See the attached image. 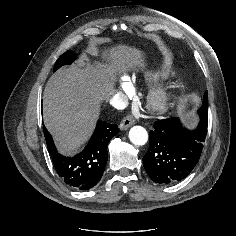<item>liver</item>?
I'll list each match as a JSON object with an SVG mask.
<instances>
[{"mask_svg":"<svg viewBox=\"0 0 236 236\" xmlns=\"http://www.w3.org/2000/svg\"><path fill=\"white\" fill-rule=\"evenodd\" d=\"M108 64L83 58L77 65L58 70L46 84L43 118L59 152L72 154L91 135L100 112V102L113 94L115 72L145 64L141 51L119 45L103 52Z\"/></svg>","mask_w":236,"mask_h":236,"instance_id":"liver-1","label":"liver"}]
</instances>
